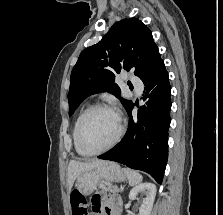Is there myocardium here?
<instances>
[{"instance_id": "1", "label": "myocardium", "mask_w": 223, "mask_h": 215, "mask_svg": "<svg viewBox=\"0 0 223 215\" xmlns=\"http://www.w3.org/2000/svg\"><path fill=\"white\" fill-rule=\"evenodd\" d=\"M99 110H109L113 113L116 114L117 118H118V122H119V129H118V133L115 136V138L113 139V141L106 146L103 149L97 150V151H91V150H86L84 148L83 145V131H84V127L87 123V121L90 119V117L96 113ZM124 134V125L122 123L121 117L119 115V113L112 108L111 106L105 104V103H98L93 105L92 107H90L87 112L84 114V116L82 117L79 125H78V129H77V143L78 146L80 147V149L83 151L84 154L88 155V156H97L100 155L101 153L111 150L113 148H115V146L120 142L122 136Z\"/></svg>"}]
</instances>
